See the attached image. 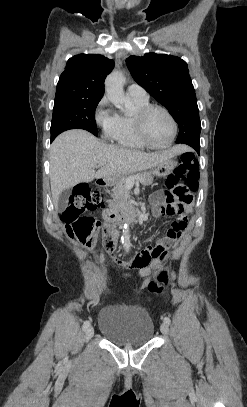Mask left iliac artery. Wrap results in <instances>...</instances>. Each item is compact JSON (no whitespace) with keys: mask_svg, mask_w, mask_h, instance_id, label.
Listing matches in <instances>:
<instances>
[{"mask_svg":"<svg viewBox=\"0 0 247 407\" xmlns=\"http://www.w3.org/2000/svg\"><path fill=\"white\" fill-rule=\"evenodd\" d=\"M164 322H166L167 324H170L171 320L169 317H164Z\"/></svg>","mask_w":247,"mask_h":407,"instance_id":"1","label":"left iliac artery"}]
</instances>
